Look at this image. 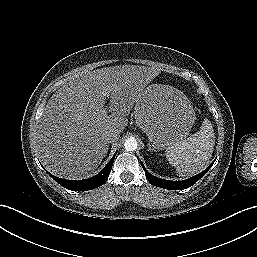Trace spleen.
Listing matches in <instances>:
<instances>
[{
	"label": "spleen",
	"instance_id": "obj_1",
	"mask_svg": "<svg viewBox=\"0 0 257 257\" xmlns=\"http://www.w3.org/2000/svg\"><path fill=\"white\" fill-rule=\"evenodd\" d=\"M214 145L213 126L208 119H205L198 132L168 147L165 154L169 163L176 167L179 177H189L208 166Z\"/></svg>",
	"mask_w": 257,
	"mask_h": 257
}]
</instances>
